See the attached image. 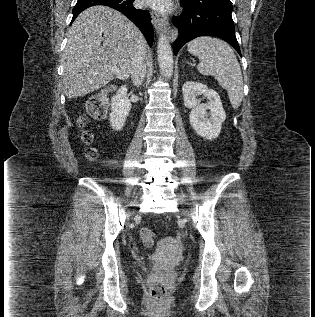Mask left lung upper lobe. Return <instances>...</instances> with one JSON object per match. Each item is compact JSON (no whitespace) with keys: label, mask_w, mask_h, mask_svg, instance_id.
<instances>
[{"label":"left lung upper lobe","mask_w":315,"mask_h":317,"mask_svg":"<svg viewBox=\"0 0 315 317\" xmlns=\"http://www.w3.org/2000/svg\"><path fill=\"white\" fill-rule=\"evenodd\" d=\"M183 1H193V0H183ZM197 1H206V2L214 3V4L219 5V6L232 7L230 0H197Z\"/></svg>","instance_id":"5c2ea615"}]
</instances>
